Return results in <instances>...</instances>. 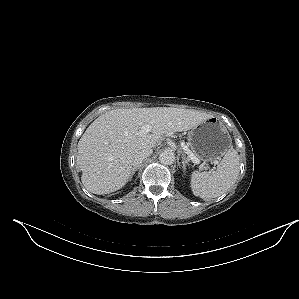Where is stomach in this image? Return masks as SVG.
I'll use <instances>...</instances> for the list:
<instances>
[{"label": "stomach", "instance_id": "1", "mask_svg": "<svg viewBox=\"0 0 299 299\" xmlns=\"http://www.w3.org/2000/svg\"><path fill=\"white\" fill-rule=\"evenodd\" d=\"M189 146L203 161L220 159L231 148V137L226 127L211 117L188 133Z\"/></svg>", "mask_w": 299, "mask_h": 299}]
</instances>
